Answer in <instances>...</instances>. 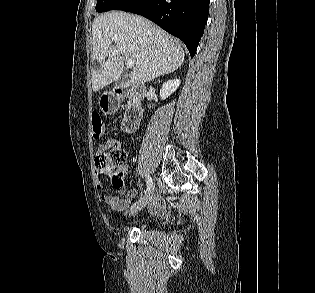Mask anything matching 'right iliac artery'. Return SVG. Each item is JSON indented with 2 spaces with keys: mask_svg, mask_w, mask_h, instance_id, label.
<instances>
[{
  "mask_svg": "<svg viewBox=\"0 0 315 293\" xmlns=\"http://www.w3.org/2000/svg\"><path fill=\"white\" fill-rule=\"evenodd\" d=\"M146 181H147V190L145 191V193L149 192L153 186V180H152L151 176L146 175Z\"/></svg>",
  "mask_w": 315,
  "mask_h": 293,
  "instance_id": "obj_1",
  "label": "right iliac artery"
}]
</instances>
